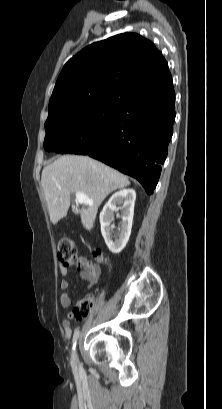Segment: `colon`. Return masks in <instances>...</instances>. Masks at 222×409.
<instances>
[{
    "label": "colon",
    "mask_w": 222,
    "mask_h": 409,
    "mask_svg": "<svg viewBox=\"0 0 222 409\" xmlns=\"http://www.w3.org/2000/svg\"><path fill=\"white\" fill-rule=\"evenodd\" d=\"M58 258L63 268L67 269L71 265L82 263L79 261V255L75 243L69 239L62 237L57 243ZM89 265H99L107 263L106 257L98 250L91 253L88 259ZM93 307V298L91 295H84L74 305L72 317L76 320L84 319L91 312Z\"/></svg>",
    "instance_id": "5ec220e1"
}]
</instances>
